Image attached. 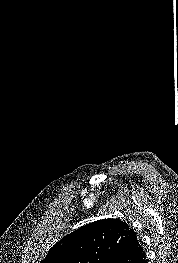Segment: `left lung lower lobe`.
Instances as JSON below:
<instances>
[{
    "label": "left lung lower lobe",
    "instance_id": "0a47b994",
    "mask_svg": "<svg viewBox=\"0 0 178 263\" xmlns=\"http://www.w3.org/2000/svg\"><path fill=\"white\" fill-rule=\"evenodd\" d=\"M109 263H147L145 252L132 229L115 257Z\"/></svg>",
    "mask_w": 178,
    "mask_h": 263
}]
</instances>
